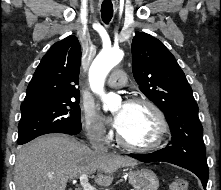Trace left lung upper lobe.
I'll return each mask as SVG.
<instances>
[{
  "label": "left lung upper lobe",
  "instance_id": "obj_1",
  "mask_svg": "<svg viewBox=\"0 0 221 190\" xmlns=\"http://www.w3.org/2000/svg\"><path fill=\"white\" fill-rule=\"evenodd\" d=\"M132 62L139 89L166 116L172 134L171 149L205 155L198 106L172 53L160 40L141 32L132 41Z\"/></svg>",
  "mask_w": 221,
  "mask_h": 190
}]
</instances>
